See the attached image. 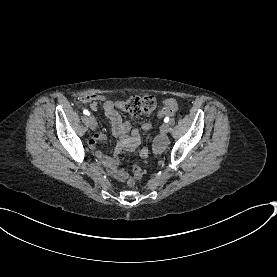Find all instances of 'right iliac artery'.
<instances>
[{
	"label": "right iliac artery",
	"mask_w": 277,
	"mask_h": 277,
	"mask_svg": "<svg viewBox=\"0 0 277 277\" xmlns=\"http://www.w3.org/2000/svg\"><path fill=\"white\" fill-rule=\"evenodd\" d=\"M83 113H84L85 115H87V116L90 115V112H89L88 110H84Z\"/></svg>",
	"instance_id": "1"
}]
</instances>
